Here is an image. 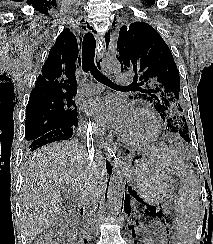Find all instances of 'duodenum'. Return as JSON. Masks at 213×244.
Segmentation results:
<instances>
[{
  "instance_id": "duodenum-1",
  "label": "duodenum",
  "mask_w": 213,
  "mask_h": 244,
  "mask_svg": "<svg viewBox=\"0 0 213 244\" xmlns=\"http://www.w3.org/2000/svg\"><path fill=\"white\" fill-rule=\"evenodd\" d=\"M81 220L86 223L87 217H82ZM84 238L85 236L83 234L77 235L72 238V244H84Z\"/></svg>"
}]
</instances>
